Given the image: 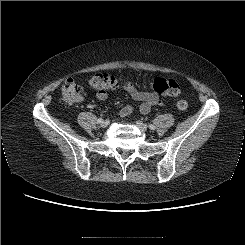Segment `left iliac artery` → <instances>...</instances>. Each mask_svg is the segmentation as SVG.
<instances>
[{
  "label": "left iliac artery",
  "instance_id": "1",
  "mask_svg": "<svg viewBox=\"0 0 245 245\" xmlns=\"http://www.w3.org/2000/svg\"><path fill=\"white\" fill-rule=\"evenodd\" d=\"M149 128H150L151 130H155V129H156V127H155L153 124H149Z\"/></svg>",
  "mask_w": 245,
  "mask_h": 245
}]
</instances>
